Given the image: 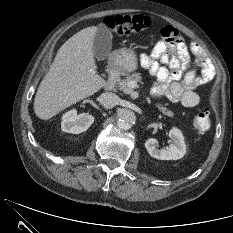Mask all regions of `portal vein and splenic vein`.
<instances>
[{
    "instance_id": "18ae733b",
    "label": "portal vein and splenic vein",
    "mask_w": 233,
    "mask_h": 233,
    "mask_svg": "<svg viewBox=\"0 0 233 233\" xmlns=\"http://www.w3.org/2000/svg\"><path fill=\"white\" fill-rule=\"evenodd\" d=\"M128 86H129V88H137V87H138V84H137L136 81H130V82L128 83Z\"/></svg>"
}]
</instances>
